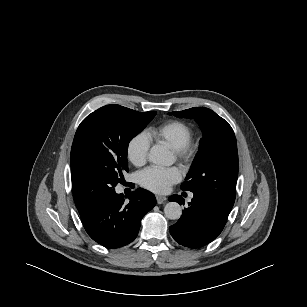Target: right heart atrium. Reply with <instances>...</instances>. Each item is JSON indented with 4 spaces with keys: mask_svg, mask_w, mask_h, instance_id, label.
I'll list each match as a JSON object with an SVG mask.
<instances>
[{
    "mask_svg": "<svg viewBox=\"0 0 307 307\" xmlns=\"http://www.w3.org/2000/svg\"><path fill=\"white\" fill-rule=\"evenodd\" d=\"M149 150L148 138L144 134H137L127 144V158L134 166H143L148 160Z\"/></svg>",
    "mask_w": 307,
    "mask_h": 307,
    "instance_id": "d8ad5b80",
    "label": "right heart atrium"
}]
</instances>
